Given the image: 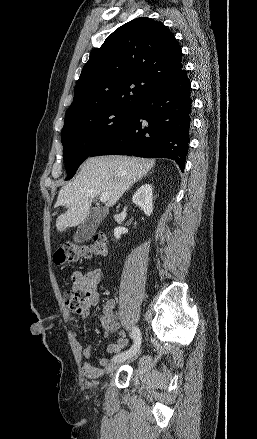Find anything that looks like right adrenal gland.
Returning a JSON list of instances; mask_svg holds the SVG:
<instances>
[{
	"mask_svg": "<svg viewBox=\"0 0 257 439\" xmlns=\"http://www.w3.org/2000/svg\"><path fill=\"white\" fill-rule=\"evenodd\" d=\"M141 179H142V178H140V179H139V180H137L136 182L140 181ZM136 182H134V183H136ZM134 183H133V184H134ZM133 184H132V185H133Z\"/></svg>",
	"mask_w": 257,
	"mask_h": 439,
	"instance_id": "right-adrenal-gland-1",
	"label": "right adrenal gland"
}]
</instances>
